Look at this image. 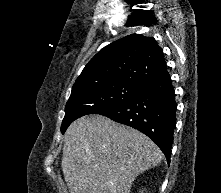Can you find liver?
Returning <instances> with one entry per match:
<instances>
[{
    "instance_id": "liver-1",
    "label": "liver",
    "mask_w": 221,
    "mask_h": 193,
    "mask_svg": "<svg viewBox=\"0 0 221 193\" xmlns=\"http://www.w3.org/2000/svg\"><path fill=\"white\" fill-rule=\"evenodd\" d=\"M161 150L145 134L101 115L77 119L66 130L62 171L70 193H130Z\"/></svg>"
}]
</instances>
